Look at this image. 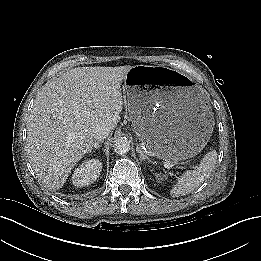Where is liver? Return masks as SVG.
<instances>
[{
  "instance_id": "liver-1",
  "label": "liver",
  "mask_w": 261,
  "mask_h": 261,
  "mask_svg": "<svg viewBox=\"0 0 261 261\" xmlns=\"http://www.w3.org/2000/svg\"><path fill=\"white\" fill-rule=\"evenodd\" d=\"M132 67H77L38 93L27 124V152L49 189L61 188L89 152L94 127L111 131L117 126L123 109L121 83Z\"/></svg>"
}]
</instances>
